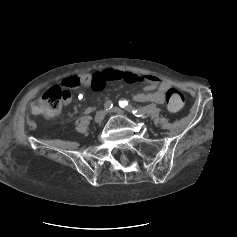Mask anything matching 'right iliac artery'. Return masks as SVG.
Wrapping results in <instances>:
<instances>
[{
    "mask_svg": "<svg viewBox=\"0 0 237 237\" xmlns=\"http://www.w3.org/2000/svg\"><path fill=\"white\" fill-rule=\"evenodd\" d=\"M112 106H113L112 101L108 100V101H106L105 104H104V110H105V111H108V110H110V109L112 108Z\"/></svg>",
    "mask_w": 237,
    "mask_h": 237,
    "instance_id": "obj_1",
    "label": "right iliac artery"
}]
</instances>
